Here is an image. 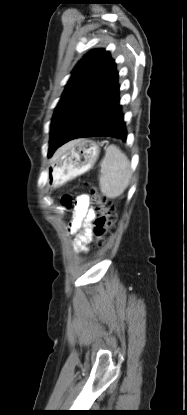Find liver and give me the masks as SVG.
<instances>
[{
	"label": "liver",
	"instance_id": "1",
	"mask_svg": "<svg viewBox=\"0 0 187 415\" xmlns=\"http://www.w3.org/2000/svg\"><path fill=\"white\" fill-rule=\"evenodd\" d=\"M72 145V142L67 143L66 145L62 146L61 148H59L57 150V152L55 153L54 157L56 158L57 156H59L60 154H62L64 151H66L70 146Z\"/></svg>",
	"mask_w": 187,
	"mask_h": 415
}]
</instances>
